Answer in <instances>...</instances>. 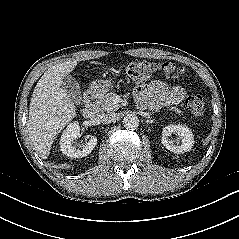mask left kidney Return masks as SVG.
<instances>
[{
  "label": "left kidney",
  "mask_w": 239,
  "mask_h": 239,
  "mask_svg": "<svg viewBox=\"0 0 239 239\" xmlns=\"http://www.w3.org/2000/svg\"><path fill=\"white\" fill-rule=\"evenodd\" d=\"M172 134L178 135L177 140H180L181 143L171 139ZM161 142L168 150L180 154L191 150L194 137L187 126L168 125L163 128Z\"/></svg>",
  "instance_id": "1"
}]
</instances>
